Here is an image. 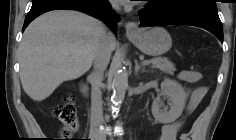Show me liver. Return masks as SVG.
<instances>
[{"label": "liver", "mask_w": 236, "mask_h": 140, "mask_svg": "<svg viewBox=\"0 0 236 140\" xmlns=\"http://www.w3.org/2000/svg\"><path fill=\"white\" fill-rule=\"evenodd\" d=\"M104 25L73 10H56L36 18L25 30L19 46L20 80L26 94L43 101L63 82L86 73ZM116 46L113 36L112 50Z\"/></svg>", "instance_id": "1"}]
</instances>
